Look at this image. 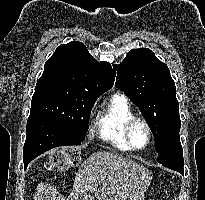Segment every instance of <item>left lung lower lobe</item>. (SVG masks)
Returning a JSON list of instances; mask_svg holds the SVG:
<instances>
[{"label": "left lung lower lobe", "instance_id": "obj_1", "mask_svg": "<svg viewBox=\"0 0 205 200\" xmlns=\"http://www.w3.org/2000/svg\"><path fill=\"white\" fill-rule=\"evenodd\" d=\"M180 126V119L170 125L168 135L166 136V144L164 148H161L157 153V162L184 174L183 151L179 139Z\"/></svg>", "mask_w": 205, "mask_h": 200}]
</instances>
